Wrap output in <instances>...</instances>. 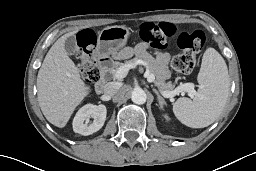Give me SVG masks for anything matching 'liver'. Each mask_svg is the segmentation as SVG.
Wrapping results in <instances>:
<instances>
[{
  "mask_svg": "<svg viewBox=\"0 0 256 171\" xmlns=\"http://www.w3.org/2000/svg\"><path fill=\"white\" fill-rule=\"evenodd\" d=\"M77 31L63 35L53 44L37 76L41 111L51 124L59 128L66 126L75 108L90 93L64 48L65 40Z\"/></svg>",
  "mask_w": 256,
  "mask_h": 171,
  "instance_id": "liver-1",
  "label": "liver"
}]
</instances>
